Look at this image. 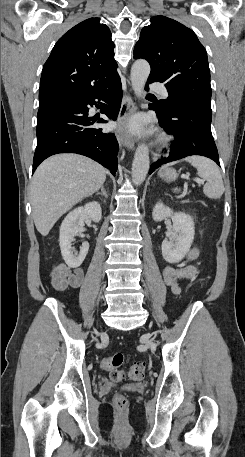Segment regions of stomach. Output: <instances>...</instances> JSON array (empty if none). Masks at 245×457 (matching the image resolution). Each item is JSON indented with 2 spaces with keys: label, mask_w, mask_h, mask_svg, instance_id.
<instances>
[{
  "label": "stomach",
  "mask_w": 245,
  "mask_h": 457,
  "mask_svg": "<svg viewBox=\"0 0 245 457\" xmlns=\"http://www.w3.org/2000/svg\"><path fill=\"white\" fill-rule=\"evenodd\" d=\"M159 174L161 178H163V180H167V182H170V180H176L177 178V172L175 168H164V170H161Z\"/></svg>",
  "instance_id": "obj_1"
}]
</instances>
